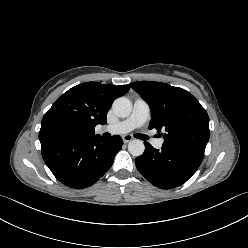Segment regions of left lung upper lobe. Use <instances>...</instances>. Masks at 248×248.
Listing matches in <instances>:
<instances>
[{
  "label": "left lung upper lobe",
  "mask_w": 248,
  "mask_h": 248,
  "mask_svg": "<svg viewBox=\"0 0 248 248\" xmlns=\"http://www.w3.org/2000/svg\"><path fill=\"white\" fill-rule=\"evenodd\" d=\"M130 86L151 109L149 129L165 131L163 147L204 155L210 135L209 117L192 94L161 82H134Z\"/></svg>",
  "instance_id": "5c2ea615"
}]
</instances>
